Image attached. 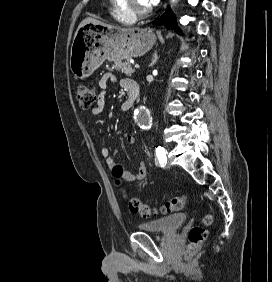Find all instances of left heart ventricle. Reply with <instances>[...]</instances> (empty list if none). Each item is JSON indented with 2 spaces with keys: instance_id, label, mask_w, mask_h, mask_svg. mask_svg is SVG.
<instances>
[{
  "instance_id": "b2bd125f",
  "label": "left heart ventricle",
  "mask_w": 272,
  "mask_h": 282,
  "mask_svg": "<svg viewBox=\"0 0 272 282\" xmlns=\"http://www.w3.org/2000/svg\"><path fill=\"white\" fill-rule=\"evenodd\" d=\"M135 3L137 7L141 10H146L150 8L146 0H135Z\"/></svg>"
}]
</instances>
